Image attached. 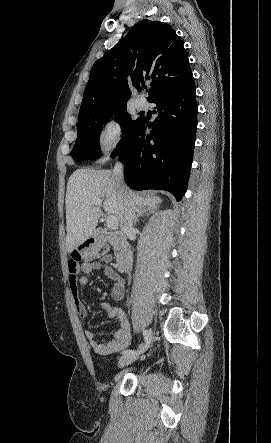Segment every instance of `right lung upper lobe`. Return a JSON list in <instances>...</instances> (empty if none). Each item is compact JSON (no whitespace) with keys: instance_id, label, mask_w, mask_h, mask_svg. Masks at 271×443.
I'll return each instance as SVG.
<instances>
[{"instance_id":"cb5924a9","label":"right lung upper lobe","mask_w":271,"mask_h":443,"mask_svg":"<svg viewBox=\"0 0 271 443\" xmlns=\"http://www.w3.org/2000/svg\"><path fill=\"white\" fill-rule=\"evenodd\" d=\"M147 100L193 79L188 55L170 25L143 20L92 67L79 111L80 118L103 116L127 105L131 89L145 88Z\"/></svg>"}]
</instances>
